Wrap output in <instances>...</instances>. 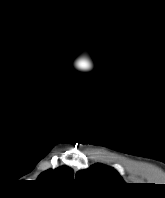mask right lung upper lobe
I'll return each mask as SVG.
<instances>
[{
  "instance_id": "right-lung-upper-lobe-1",
  "label": "right lung upper lobe",
  "mask_w": 165,
  "mask_h": 198,
  "mask_svg": "<svg viewBox=\"0 0 165 198\" xmlns=\"http://www.w3.org/2000/svg\"><path fill=\"white\" fill-rule=\"evenodd\" d=\"M74 173L69 167H59L55 170L49 169L39 176V180L45 182H73Z\"/></svg>"
}]
</instances>
